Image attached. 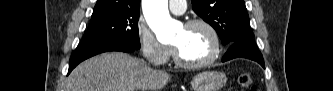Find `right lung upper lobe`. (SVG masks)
Returning <instances> with one entry per match:
<instances>
[{
    "instance_id": "obj_1",
    "label": "right lung upper lobe",
    "mask_w": 333,
    "mask_h": 91,
    "mask_svg": "<svg viewBox=\"0 0 333 91\" xmlns=\"http://www.w3.org/2000/svg\"><path fill=\"white\" fill-rule=\"evenodd\" d=\"M139 10L140 0H97L91 18Z\"/></svg>"
}]
</instances>
